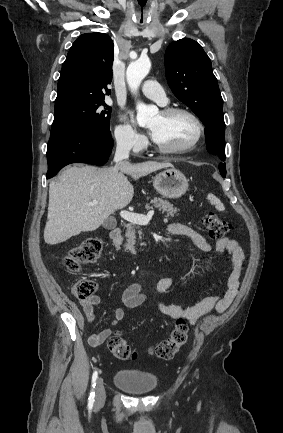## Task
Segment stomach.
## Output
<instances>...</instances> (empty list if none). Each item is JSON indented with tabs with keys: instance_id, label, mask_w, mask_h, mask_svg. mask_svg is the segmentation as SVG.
Instances as JSON below:
<instances>
[{
	"instance_id": "1",
	"label": "stomach",
	"mask_w": 283,
	"mask_h": 433,
	"mask_svg": "<svg viewBox=\"0 0 283 433\" xmlns=\"http://www.w3.org/2000/svg\"><path fill=\"white\" fill-rule=\"evenodd\" d=\"M153 186L166 198H179L188 188V180L180 170L167 168L154 176Z\"/></svg>"
}]
</instances>
